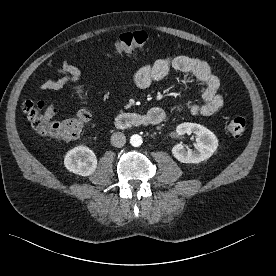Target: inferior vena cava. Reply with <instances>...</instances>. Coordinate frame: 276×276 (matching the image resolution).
<instances>
[{"label":"inferior vena cava","mask_w":276,"mask_h":276,"mask_svg":"<svg viewBox=\"0 0 276 276\" xmlns=\"http://www.w3.org/2000/svg\"><path fill=\"white\" fill-rule=\"evenodd\" d=\"M126 143V137L123 133L121 132H115L111 136V144L114 147L121 148L125 145Z\"/></svg>","instance_id":"inferior-vena-cava-1"}]
</instances>
